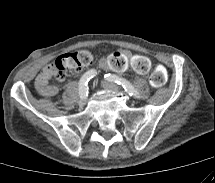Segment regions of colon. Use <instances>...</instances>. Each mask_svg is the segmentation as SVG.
<instances>
[{
    "label": "colon",
    "mask_w": 215,
    "mask_h": 183,
    "mask_svg": "<svg viewBox=\"0 0 215 183\" xmlns=\"http://www.w3.org/2000/svg\"><path fill=\"white\" fill-rule=\"evenodd\" d=\"M93 61V56L88 50L65 53L55 58L50 64L54 76L61 78L67 70H80L89 66ZM169 69L167 65L158 63L154 65L149 76L150 83L155 87L163 86L166 83Z\"/></svg>",
    "instance_id": "colon-1"
}]
</instances>
